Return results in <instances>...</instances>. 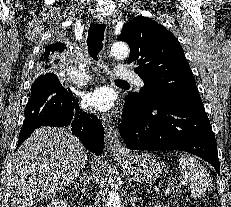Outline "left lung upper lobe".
<instances>
[{
  "label": "left lung upper lobe",
  "mask_w": 231,
  "mask_h": 207,
  "mask_svg": "<svg viewBox=\"0 0 231 207\" xmlns=\"http://www.w3.org/2000/svg\"><path fill=\"white\" fill-rule=\"evenodd\" d=\"M118 40L130 46L128 63L144 86L125 101L134 106L172 104L200 98L191 68L178 39L148 17H137L123 26Z\"/></svg>",
  "instance_id": "5c2ea615"
}]
</instances>
